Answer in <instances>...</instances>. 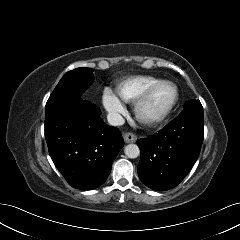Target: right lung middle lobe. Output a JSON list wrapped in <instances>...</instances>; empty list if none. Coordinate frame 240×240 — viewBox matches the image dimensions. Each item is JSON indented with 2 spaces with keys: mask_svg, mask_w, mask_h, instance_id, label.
I'll use <instances>...</instances> for the list:
<instances>
[{
  "mask_svg": "<svg viewBox=\"0 0 240 240\" xmlns=\"http://www.w3.org/2000/svg\"><path fill=\"white\" fill-rule=\"evenodd\" d=\"M94 76L90 68H77L67 72L50 95L46 105L54 102L81 97L93 83Z\"/></svg>",
  "mask_w": 240,
  "mask_h": 240,
  "instance_id": "obj_1",
  "label": "right lung middle lobe"
}]
</instances>
